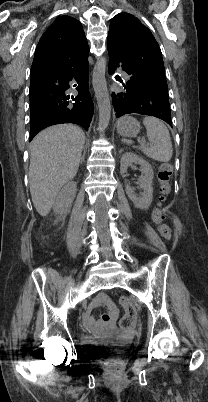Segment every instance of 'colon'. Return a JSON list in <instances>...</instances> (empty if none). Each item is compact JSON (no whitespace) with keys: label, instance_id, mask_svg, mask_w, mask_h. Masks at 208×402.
Segmentation results:
<instances>
[{"label":"colon","instance_id":"5ec220e1","mask_svg":"<svg viewBox=\"0 0 208 402\" xmlns=\"http://www.w3.org/2000/svg\"><path fill=\"white\" fill-rule=\"evenodd\" d=\"M174 167L170 162H163L160 164L158 169V180L160 183V196L158 203L152 210V219L156 223L159 233L164 240L171 241L173 238V232L168 223L164 219V203L167 201L171 194L172 184L171 178L173 176ZM119 304L122 308V319L120 322L121 327H134L135 326V316L137 314V309L135 307L134 301L131 297H120Z\"/></svg>","mask_w":208,"mask_h":402}]
</instances>
